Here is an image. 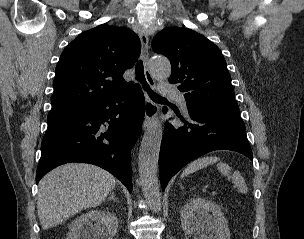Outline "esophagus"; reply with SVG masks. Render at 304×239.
Segmentation results:
<instances>
[{
    "mask_svg": "<svg viewBox=\"0 0 304 239\" xmlns=\"http://www.w3.org/2000/svg\"><path fill=\"white\" fill-rule=\"evenodd\" d=\"M140 40L142 46V60L144 65V75L146 78L147 83L152 89L156 88V83L151 75L149 68H148V59H149V38L148 33L144 30L140 33ZM145 96V117L143 121V128H148L152 121L156 118L157 113L159 111V106L155 102L151 100L147 92H144Z\"/></svg>",
    "mask_w": 304,
    "mask_h": 239,
    "instance_id": "esophagus-1",
    "label": "esophagus"
}]
</instances>
